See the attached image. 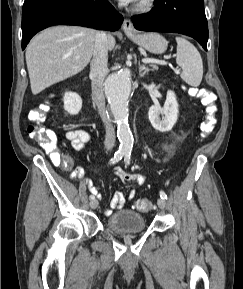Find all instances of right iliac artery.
<instances>
[{
  "instance_id": "right-iliac-artery-1",
  "label": "right iliac artery",
  "mask_w": 243,
  "mask_h": 289,
  "mask_svg": "<svg viewBox=\"0 0 243 289\" xmlns=\"http://www.w3.org/2000/svg\"><path fill=\"white\" fill-rule=\"evenodd\" d=\"M125 155L124 151H117L114 155V157L110 160V164H115L118 161L122 159V157ZM94 194L90 195V199H94Z\"/></svg>"
}]
</instances>
